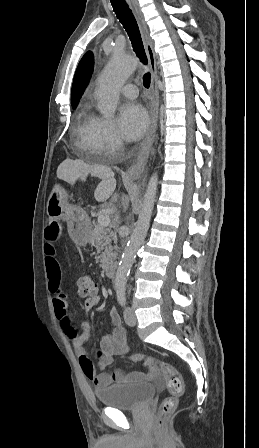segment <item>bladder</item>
<instances>
[{"label":"bladder","mask_w":259,"mask_h":448,"mask_svg":"<svg viewBox=\"0 0 259 448\" xmlns=\"http://www.w3.org/2000/svg\"><path fill=\"white\" fill-rule=\"evenodd\" d=\"M155 394L150 383H120L96 389L95 396L104 406L122 410H137L145 406Z\"/></svg>","instance_id":"bladder-1"}]
</instances>
